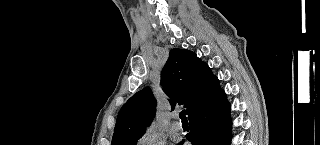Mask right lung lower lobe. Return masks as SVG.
Listing matches in <instances>:
<instances>
[{
    "label": "right lung lower lobe",
    "mask_w": 320,
    "mask_h": 145,
    "mask_svg": "<svg viewBox=\"0 0 320 145\" xmlns=\"http://www.w3.org/2000/svg\"><path fill=\"white\" fill-rule=\"evenodd\" d=\"M230 105L225 92L214 79L204 105L189 116L190 132L186 135L192 145H229L231 139ZM182 140L180 144H183Z\"/></svg>",
    "instance_id": "obj_1"
}]
</instances>
